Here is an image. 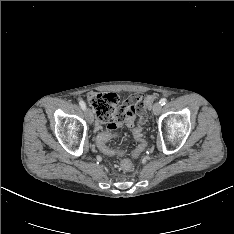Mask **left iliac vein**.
<instances>
[{"label": "left iliac vein", "instance_id": "4c4485c4", "mask_svg": "<svg viewBox=\"0 0 234 234\" xmlns=\"http://www.w3.org/2000/svg\"><path fill=\"white\" fill-rule=\"evenodd\" d=\"M162 111V105L160 104V102H156L154 105H153V113L155 115H159Z\"/></svg>", "mask_w": 234, "mask_h": 234}]
</instances>
